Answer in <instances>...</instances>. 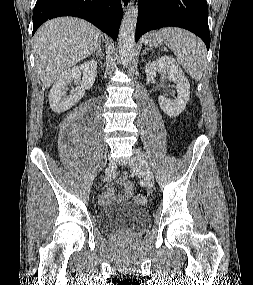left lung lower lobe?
<instances>
[{
	"instance_id": "left-lung-lower-lobe-1",
	"label": "left lung lower lobe",
	"mask_w": 253,
	"mask_h": 285,
	"mask_svg": "<svg viewBox=\"0 0 253 285\" xmlns=\"http://www.w3.org/2000/svg\"><path fill=\"white\" fill-rule=\"evenodd\" d=\"M136 42L146 32L167 26L187 29L210 47L206 0H139Z\"/></svg>"
}]
</instances>
